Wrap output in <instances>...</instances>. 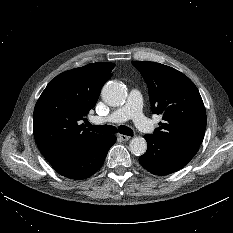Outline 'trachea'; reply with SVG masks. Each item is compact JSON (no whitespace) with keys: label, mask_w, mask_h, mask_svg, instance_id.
<instances>
[{"label":"trachea","mask_w":233,"mask_h":233,"mask_svg":"<svg viewBox=\"0 0 233 233\" xmlns=\"http://www.w3.org/2000/svg\"><path fill=\"white\" fill-rule=\"evenodd\" d=\"M87 127L90 131H94L101 134H114L117 133L118 131L121 134L127 136H133L132 129L124 125L119 126L117 129L115 126H111V125L93 126L90 123H87Z\"/></svg>","instance_id":"obj_1"}]
</instances>
